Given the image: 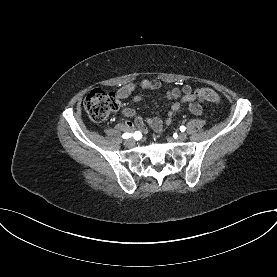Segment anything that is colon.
<instances>
[{
	"label": "colon",
	"instance_id": "1",
	"mask_svg": "<svg viewBox=\"0 0 277 277\" xmlns=\"http://www.w3.org/2000/svg\"><path fill=\"white\" fill-rule=\"evenodd\" d=\"M195 94L207 101H219V95L210 88H199ZM84 107L91 120L101 122L118 109L119 101L115 93L106 89L97 88L87 94Z\"/></svg>",
	"mask_w": 277,
	"mask_h": 277
}]
</instances>
